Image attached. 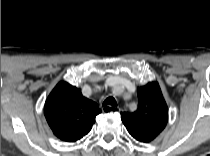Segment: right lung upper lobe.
<instances>
[{"label":"right lung upper lobe","instance_id":"cb5924a9","mask_svg":"<svg viewBox=\"0 0 210 156\" xmlns=\"http://www.w3.org/2000/svg\"><path fill=\"white\" fill-rule=\"evenodd\" d=\"M100 113L95 102L85 98L80 89L64 81L55 86L44 106L46 120L54 135L67 142L85 136Z\"/></svg>","mask_w":210,"mask_h":156}]
</instances>
